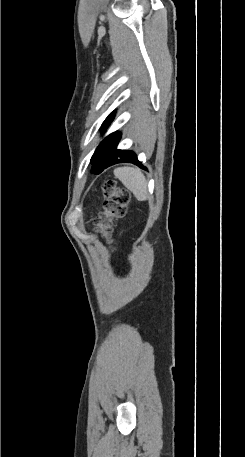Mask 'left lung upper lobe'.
Listing matches in <instances>:
<instances>
[{"instance_id":"5c2ea615","label":"left lung upper lobe","mask_w":245,"mask_h":457,"mask_svg":"<svg viewBox=\"0 0 245 457\" xmlns=\"http://www.w3.org/2000/svg\"><path fill=\"white\" fill-rule=\"evenodd\" d=\"M113 117H114V112H112L108 117L107 119L105 120L104 124L107 123V122H111L113 120Z\"/></svg>"}]
</instances>
